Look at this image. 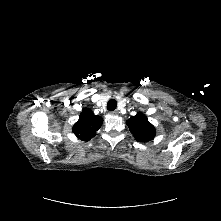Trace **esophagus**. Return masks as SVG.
<instances>
[{
  "instance_id": "obj_1",
  "label": "esophagus",
  "mask_w": 221,
  "mask_h": 221,
  "mask_svg": "<svg viewBox=\"0 0 221 221\" xmlns=\"http://www.w3.org/2000/svg\"><path fill=\"white\" fill-rule=\"evenodd\" d=\"M117 113H118L117 110H115V111H111V112H110V114H112V115H117Z\"/></svg>"
}]
</instances>
